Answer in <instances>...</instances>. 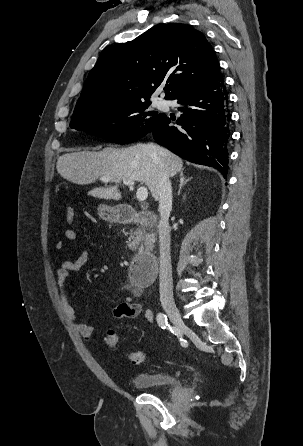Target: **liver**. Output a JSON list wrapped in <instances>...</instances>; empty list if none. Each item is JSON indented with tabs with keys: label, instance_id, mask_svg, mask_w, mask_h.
<instances>
[{
	"label": "liver",
	"instance_id": "liver-1",
	"mask_svg": "<svg viewBox=\"0 0 303 446\" xmlns=\"http://www.w3.org/2000/svg\"><path fill=\"white\" fill-rule=\"evenodd\" d=\"M180 157L153 143L137 144L129 148L106 147L102 151L72 152L58 157L57 172L66 180L85 185L97 178L110 176L115 186L98 187L88 195L100 199L119 200L118 185L123 179L144 183L155 200L159 199L158 182L162 174L175 176L182 170Z\"/></svg>",
	"mask_w": 303,
	"mask_h": 446
}]
</instances>
